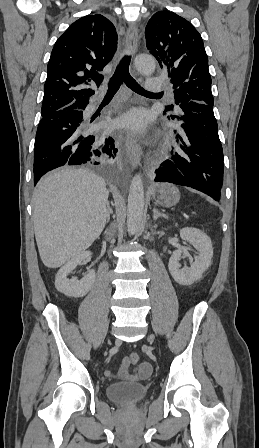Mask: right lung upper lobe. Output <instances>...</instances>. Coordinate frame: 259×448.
Here are the masks:
<instances>
[{"instance_id":"right-lung-upper-lobe-1","label":"right lung upper lobe","mask_w":259,"mask_h":448,"mask_svg":"<svg viewBox=\"0 0 259 448\" xmlns=\"http://www.w3.org/2000/svg\"><path fill=\"white\" fill-rule=\"evenodd\" d=\"M116 49V29L106 17L87 15L71 24L51 52L41 115L88 102L95 94L91 84H102L100 72Z\"/></svg>"}]
</instances>
